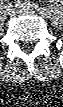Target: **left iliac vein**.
Segmentation results:
<instances>
[{
	"instance_id": "4c4485c4",
	"label": "left iliac vein",
	"mask_w": 63,
	"mask_h": 107,
	"mask_svg": "<svg viewBox=\"0 0 63 107\" xmlns=\"http://www.w3.org/2000/svg\"><path fill=\"white\" fill-rule=\"evenodd\" d=\"M16 10L20 14H36V12L29 6H16Z\"/></svg>"
}]
</instances>
